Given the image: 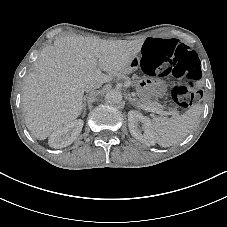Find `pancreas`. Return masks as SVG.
<instances>
[{
  "label": "pancreas",
  "mask_w": 227,
  "mask_h": 227,
  "mask_svg": "<svg viewBox=\"0 0 227 227\" xmlns=\"http://www.w3.org/2000/svg\"><path fill=\"white\" fill-rule=\"evenodd\" d=\"M140 101L146 107H151V106H153L154 108L160 107V104L158 102H154L151 99H140Z\"/></svg>",
  "instance_id": "1"
}]
</instances>
